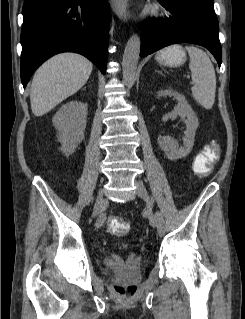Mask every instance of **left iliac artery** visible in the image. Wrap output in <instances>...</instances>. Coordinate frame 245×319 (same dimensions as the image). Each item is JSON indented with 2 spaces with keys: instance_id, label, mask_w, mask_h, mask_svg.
<instances>
[{
  "instance_id": "44dca946",
  "label": "left iliac artery",
  "mask_w": 245,
  "mask_h": 319,
  "mask_svg": "<svg viewBox=\"0 0 245 319\" xmlns=\"http://www.w3.org/2000/svg\"><path fill=\"white\" fill-rule=\"evenodd\" d=\"M156 217H157V227H158V231L159 232H164L165 231V227H164V219L163 216L160 212L156 213Z\"/></svg>"
}]
</instances>
